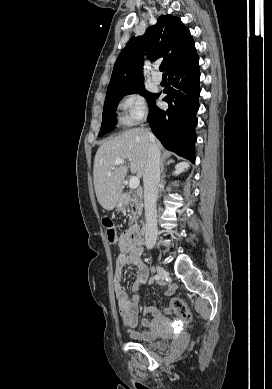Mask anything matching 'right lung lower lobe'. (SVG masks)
<instances>
[{"instance_id":"obj_1","label":"right lung lower lobe","mask_w":272,"mask_h":389,"mask_svg":"<svg viewBox=\"0 0 272 389\" xmlns=\"http://www.w3.org/2000/svg\"><path fill=\"white\" fill-rule=\"evenodd\" d=\"M198 61L199 57L196 54L167 73L169 83L163 91L167 94L163 100L169 107L167 110H161L156 106L159 93L150 104L148 116L153 134L164 147L192 163L195 161L196 113L199 109L200 95Z\"/></svg>"}]
</instances>
